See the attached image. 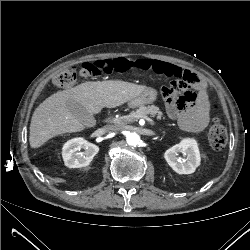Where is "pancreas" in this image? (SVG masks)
Wrapping results in <instances>:
<instances>
[{"instance_id": "1", "label": "pancreas", "mask_w": 250, "mask_h": 250, "mask_svg": "<svg viewBox=\"0 0 250 250\" xmlns=\"http://www.w3.org/2000/svg\"><path fill=\"white\" fill-rule=\"evenodd\" d=\"M151 114L153 116H157L158 119L163 116V112L155 105L149 106H141L136 111H133L129 116L120 117L117 119H113L112 121L116 124H125L128 122H134L141 116H145Z\"/></svg>"}]
</instances>
